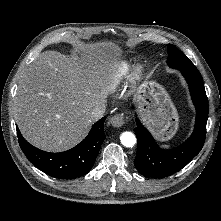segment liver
<instances>
[{"label":"liver","mask_w":221,"mask_h":221,"mask_svg":"<svg viewBox=\"0 0 221 221\" xmlns=\"http://www.w3.org/2000/svg\"><path fill=\"white\" fill-rule=\"evenodd\" d=\"M72 58L41 53L21 77L14 101L24 138L50 152L81 142L96 120L92 110L106 103L108 83L121 55L112 42L77 45Z\"/></svg>","instance_id":"6515ba94"}]
</instances>
